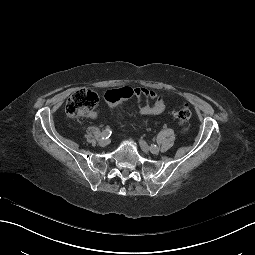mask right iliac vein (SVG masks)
I'll list each match as a JSON object with an SVG mask.
<instances>
[{
	"instance_id": "obj_1",
	"label": "right iliac vein",
	"mask_w": 255,
	"mask_h": 255,
	"mask_svg": "<svg viewBox=\"0 0 255 255\" xmlns=\"http://www.w3.org/2000/svg\"><path fill=\"white\" fill-rule=\"evenodd\" d=\"M109 143H110V141L107 140V139H101V140L99 141V145L102 146V147L108 145Z\"/></svg>"
}]
</instances>
